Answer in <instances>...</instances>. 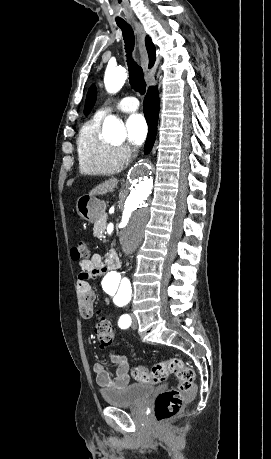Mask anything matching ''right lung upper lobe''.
Listing matches in <instances>:
<instances>
[{"label": "right lung upper lobe", "mask_w": 271, "mask_h": 459, "mask_svg": "<svg viewBox=\"0 0 271 459\" xmlns=\"http://www.w3.org/2000/svg\"><path fill=\"white\" fill-rule=\"evenodd\" d=\"M145 44L149 55V68H151L154 65L155 61V47L148 36L145 39Z\"/></svg>", "instance_id": "cb5924a9"}]
</instances>
